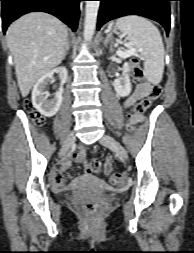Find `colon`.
<instances>
[{
	"label": "colon",
	"instance_id": "1",
	"mask_svg": "<svg viewBox=\"0 0 194 253\" xmlns=\"http://www.w3.org/2000/svg\"><path fill=\"white\" fill-rule=\"evenodd\" d=\"M133 73L136 78L141 79L143 77V70L142 67L137 59H133L131 61ZM143 83H149V78H143ZM161 93V88L158 85H153L151 88V91L149 95L139 101L131 111L127 112V120H125V125H127V128L130 131L134 130V125L130 122V119L134 115H142L150 106L152 103L159 97ZM24 107L26 110H28L31 113V120L36 126H42L44 119L41 115L33 111V106L31 101L26 100L24 103ZM75 160L82 164L87 172L93 173V174H99L102 171V163L98 159H87V155L85 150H80L75 154ZM123 177L121 173L115 172L112 173L110 176V181L113 184H118L122 181ZM81 207L90 213H94L98 211V205L92 202L82 201L80 203Z\"/></svg>",
	"mask_w": 194,
	"mask_h": 253
}]
</instances>
